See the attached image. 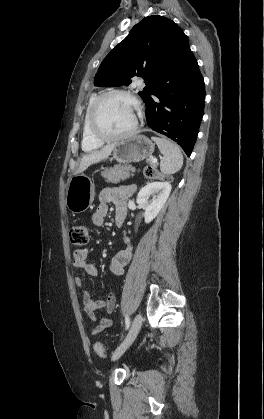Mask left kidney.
I'll list each match as a JSON object with an SVG mask.
<instances>
[{"label":"left kidney","mask_w":264,"mask_h":419,"mask_svg":"<svg viewBox=\"0 0 264 419\" xmlns=\"http://www.w3.org/2000/svg\"><path fill=\"white\" fill-rule=\"evenodd\" d=\"M171 192L169 182H151L142 187L137 195V204L144 212L145 223H150L163 208ZM152 197L151 200H148Z\"/></svg>","instance_id":"left-kidney-1"}]
</instances>
